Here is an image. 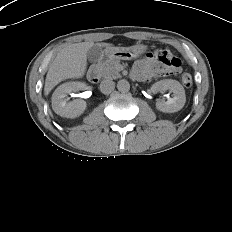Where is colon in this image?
<instances>
[{"mask_svg": "<svg viewBox=\"0 0 232 232\" xmlns=\"http://www.w3.org/2000/svg\"><path fill=\"white\" fill-rule=\"evenodd\" d=\"M149 58L155 60L159 65L172 68L177 72L181 67L180 59L168 49H156L149 53ZM181 82L186 88H190L193 84L192 76L189 73L182 74Z\"/></svg>", "mask_w": 232, "mask_h": 232, "instance_id": "colon-1", "label": "colon"}]
</instances>
